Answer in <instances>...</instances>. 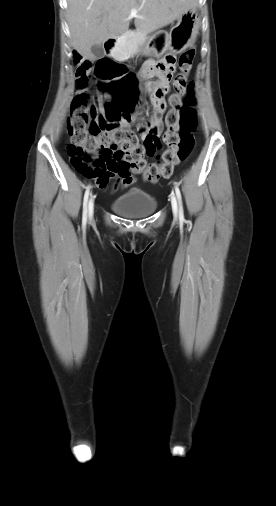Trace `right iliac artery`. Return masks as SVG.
Wrapping results in <instances>:
<instances>
[{"label":"right iliac artery","mask_w":276,"mask_h":506,"mask_svg":"<svg viewBox=\"0 0 276 506\" xmlns=\"http://www.w3.org/2000/svg\"><path fill=\"white\" fill-rule=\"evenodd\" d=\"M90 188L91 186L88 185L86 187V191H85V194H84V200H83V216H82V223L85 225L86 222H87V203H88V198H89V193H90Z\"/></svg>","instance_id":"82829eb1"}]
</instances>
